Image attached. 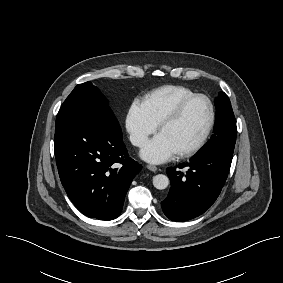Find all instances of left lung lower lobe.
<instances>
[{"instance_id":"1","label":"left lung lower lobe","mask_w":283,"mask_h":283,"mask_svg":"<svg viewBox=\"0 0 283 283\" xmlns=\"http://www.w3.org/2000/svg\"><path fill=\"white\" fill-rule=\"evenodd\" d=\"M232 157L219 150H201L190 162L168 168L171 188L161 202L164 214L173 221H186L204 213L219 196ZM184 167L185 173L179 170Z\"/></svg>"}]
</instances>
